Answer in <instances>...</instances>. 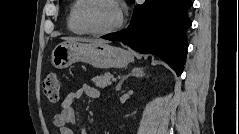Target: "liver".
<instances>
[{
    "label": "liver",
    "instance_id": "obj_1",
    "mask_svg": "<svg viewBox=\"0 0 239 134\" xmlns=\"http://www.w3.org/2000/svg\"><path fill=\"white\" fill-rule=\"evenodd\" d=\"M64 40H67V41H81V42H104V41H102V40H99V41H97V40H95V41H93V40H91V39H86V38H77V37H64L63 38Z\"/></svg>",
    "mask_w": 239,
    "mask_h": 134
}]
</instances>
